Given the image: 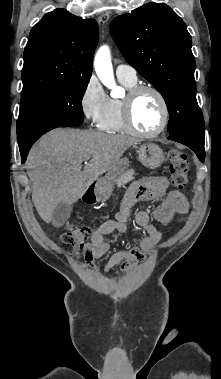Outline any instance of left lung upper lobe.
<instances>
[{"label":"left lung upper lobe","instance_id":"obj_1","mask_svg":"<svg viewBox=\"0 0 221 379\" xmlns=\"http://www.w3.org/2000/svg\"><path fill=\"white\" fill-rule=\"evenodd\" d=\"M110 33L125 60L165 99L169 136L204 142L205 125L196 100V63L184 21L166 4L148 3L116 17Z\"/></svg>","mask_w":221,"mask_h":379}]
</instances>
